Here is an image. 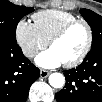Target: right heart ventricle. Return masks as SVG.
Returning a JSON list of instances; mask_svg holds the SVG:
<instances>
[{"mask_svg": "<svg viewBox=\"0 0 102 102\" xmlns=\"http://www.w3.org/2000/svg\"><path fill=\"white\" fill-rule=\"evenodd\" d=\"M77 16L63 10H44L33 15L34 25L40 35L47 41L67 23L76 20Z\"/></svg>", "mask_w": 102, "mask_h": 102, "instance_id": "e07e8e85", "label": "right heart ventricle"}]
</instances>
